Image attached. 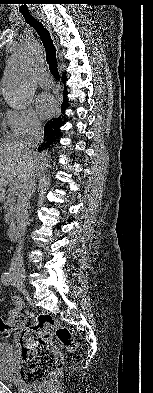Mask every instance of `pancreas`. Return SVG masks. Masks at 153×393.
Returning <instances> with one entry per match:
<instances>
[{
    "label": "pancreas",
    "mask_w": 153,
    "mask_h": 393,
    "mask_svg": "<svg viewBox=\"0 0 153 393\" xmlns=\"http://www.w3.org/2000/svg\"><path fill=\"white\" fill-rule=\"evenodd\" d=\"M16 191L9 189L4 197L5 223L10 224L13 222L16 211Z\"/></svg>",
    "instance_id": "cf45deb5"
}]
</instances>
